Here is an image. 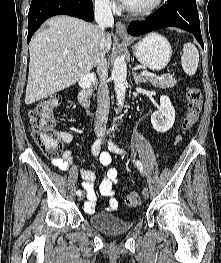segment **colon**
Masks as SVG:
<instances>
[{
	"label": "colon",
	"mask_w": 221,
	"mask_h": 263,
	"mask_svg": "<svg viewBox=\"0 0 221 263\" xmlns=\"http://www.w3.org/2000/svg\"><path fill=\"white\" fill-rule=\"evenodd\" d=\"M187 113L183 120V132L189 131L197 122L202 109V94L196 87H190L187 92ZM61 104V97L57 94L50 95L41 100L29 111V122L32 136L48 158H57L62 152V145L55 134V119L53 112ZM124 203L129 208H134L140 203V195L130 192L126 195Z\"/></svg>",
	"instance_id": "1"
}]
</instances>
